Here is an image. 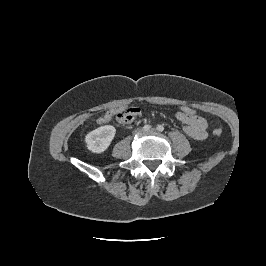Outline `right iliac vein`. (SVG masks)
I'll return each mask as SVG.
<instances>
[{"mask_svg": "<svg viewBox=\"0 0 266 266\" xmlns=\"http://www.w3.org/2000/svg\"><path fill=\"white\" fill-rule=\"evenodd\" d=\"M143 132V130L142 129H137L136 131H135V133H142Z\"/></svg>", "mask_w": 266, "mask_h": 266, "instance_id": "obj_1", "label": "right iliac vein"}]
</instances>
